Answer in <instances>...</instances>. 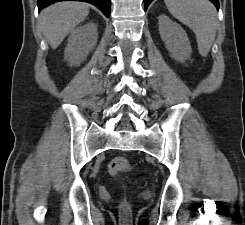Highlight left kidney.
<instances>
[{"label": "left kidney", "mask_w": 245, "mask_h": 225, "mask_svg": "<svg viewBox=\"0 0 245 225\" xmlns=\"http://www.w3.org/2000/svg\"><path fill=\"white\" fill-rule=\"evenodd\" d=\"M158 23L161 39L170 56L180 62L188 59L192 49L185 30L164 14L158 17Z\"/></svg>", "instance_id": "5707ae66"}]
</instances>
